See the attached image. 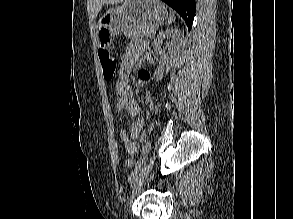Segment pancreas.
Returning <instances> with one entry per match:
<instances>
[{"label":"pancreas","mask_w":293,"mask_h":219,"mask_svg":"<svg viewBox=\"0 0 293 219\" xmlns=\"http://www.w3.org/2000/svg\"><path fill=\"white\" fill-rule=\"evenodd\" d=\"M157 24L146 23V22H134L129 24V26L124 31L125 35L129 38L135 37H147L154 36L157 30Z\"/></svg>","instance_id":"pancreas-1"}]
</instances>
